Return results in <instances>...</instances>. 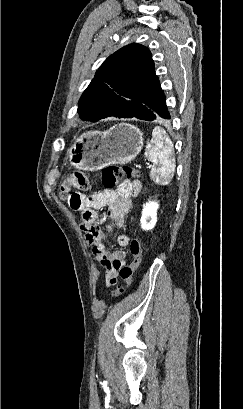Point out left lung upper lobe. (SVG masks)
<instances>
[{
    "label": "left lung upper lobe",
    "instance_id": "5c2ea615",
    "mask_svg": "<svg viewBox=\"0 0 243 409\" xmlns=\"http://www.w3.org/2000/svg\"><path fill=\"white\" fill-rule=\"evenodd\" d=\"M150 51L129 44L109 56L79 100L81 119L96 122L105 114L125 113V106L141 100L159 85Z\"/></svg>",
    "mask_w": 243,
    "mask_h": 409
}]
</instances>
